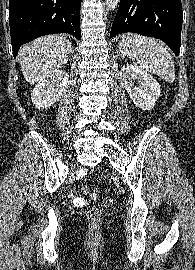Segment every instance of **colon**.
Returning a JSON list of instances; mask_svg holds the SVG:
<instances>
[{
  "mask_svg": "<svg viewBox=\"0 0 195 270\" xmlns=\"http://www.w3.org/2000/svg\"><path fill=\"white\" fill-rule=\"evenodd\" d=\"M83 191L85 193H88L90 191H92V188L89 187V186H85L83 188ZM112 204V199L109 198V197H106L103 199V205L106 206V207H109L110 205ZM87 218L92 221V222H97L100 218V210L96 207H92L90 209H88L87 213Z\"/></svg>",
  "mask_w": 195,
  "mask_h": 270,
  "instance_id": "5ec220e1",
  "label": "colon"
}]
</instances>
